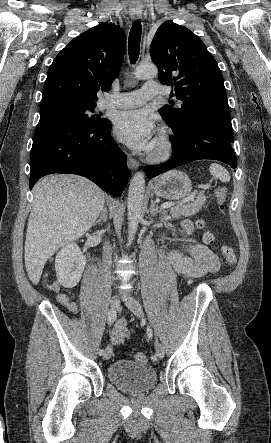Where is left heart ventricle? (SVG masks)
Returning a JSON list of instances; mask_svg holds the SVG:
<instances>
[{
    "label": "left heart ventricle",
    "mask_w": 271,
    "mask_h": 443,
    "mask_svg": "<svg viewBox=\"0 0 271 443\" xmlns=\"http://www.w3.org/2000/svg\"><path fill=\"white\" fill-rule=\"evenodd\" d=\"M156 145V143H155V141H154V144H153V146H155Z\"/></svg>",
    "instance_id": "b2bd125f"
}]
</instances>
